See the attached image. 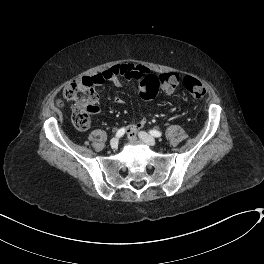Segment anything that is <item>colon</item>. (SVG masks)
Returning a JSON list of instances; mask_svg holds the SVG:
<instances>
[{"label": "colon", "instance_id": "1", "mask_svg": "<svg viewBox=\"0 0 264 264\" xmlns=\"http://www.w3.org/2000/svg\"><path fill=\"white\" fill-rule=\"evenodd\" d=\"M114 71L117 74L125 73V67L116 66ZM177 73H164L159 76L149 75L141 81L139 94L144 99L154 98L160 89L166 92L174 91L179 85ZM183 84L190 94L196 99L206 96V89L203 84L193 76H186ZM64 98L73 105L72 122L80 130H87L90 127L91 115L97 110L98 92L94 82L89 78H81L68 83L63 90Z\"/></svg>", "mask_w": 264, "mask_h": 264}]
</instances>
